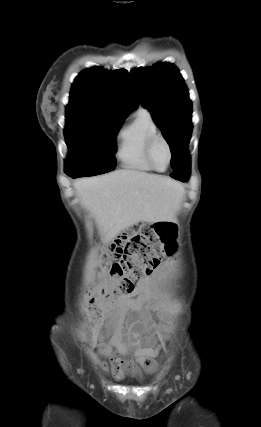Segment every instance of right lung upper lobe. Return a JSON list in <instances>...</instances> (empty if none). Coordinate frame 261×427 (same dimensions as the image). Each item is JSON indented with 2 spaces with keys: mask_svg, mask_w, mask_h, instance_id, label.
I'll use <instances>...</instances> for the list:
<instances>
[{
  "mask_svg": "<svg viewBox=\"0 0 261 427\" xmlns=\"http://www.w3.org/2000/svg\"><path fill=\"white\" fill-rule=\"evenodd\" d=\"M138 106L128 72L89 68L75 79L66 114L92 113L124 119Z\"/></svg>",
  "mask_w": 261,
  "mask_h": 427,
  "instance_id": "obj_1",
  "label": "right lung upper lobe"
}]
</instances>
